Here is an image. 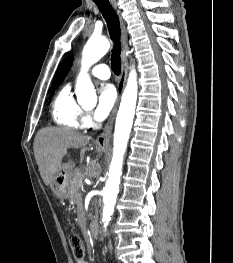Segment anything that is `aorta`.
Masks as SVG:
<instances>
[{
    "mask_svg": "<svg viewBox=\"0 0 233 263\" xmlns=\"http://www.w3.org/2000/svg\"><path fill=\"white\" fill-rule=\"evenodd\" d=\"M110 43L105 37H90L82 52V69L78 76L75 93L80 104L96 100L94 86L87 70L101 59L109 50ZM137 74L131 70L127 85L123 92L119 111L116 117L113 157L109 170V178L103 189V220L106 227L114 212L117 195L119 192L120 177L122 174L123 157L127 148L131 132L137 100Z\"/></svg>",
    "mask_w": 233,
    "mask_h": 263,
    "instance_id": "1",
    "label": "aorta"
}]
</instances>
